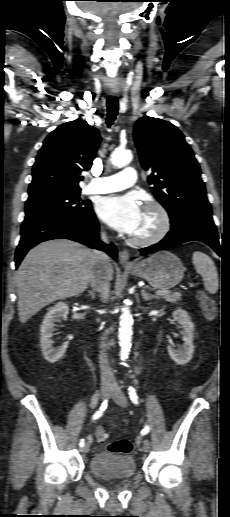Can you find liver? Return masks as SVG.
Segmentation results:
<instances>
[{
    "label": "liver",
    "instance_id": "liver-1",
    "mask_svg": "<svg viewBox=\"0 0 230 517\" xmlns=\"http://www.w3.org/2000/svg\"><path fill=\"white\" fill-rule=\"evenodd\" d=\"M98 265L94 250L70 240H49L32 248L15 274L20 322L56 300L80 295ZM108 275L113 278L110 263Z\"/></svg>",
    "mask_w": 230,
    "mask_h": 517
}]
</instances>
